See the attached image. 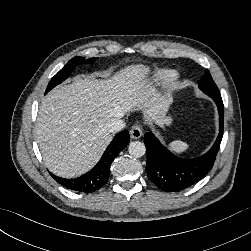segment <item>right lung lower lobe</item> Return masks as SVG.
I'll list each match as a JSON object with an SVG mask.
<instances>
[{
    "label": "right lung lower lobe",
    "mask_w": 251,
    "mask_h": 251,
    "mask_svg": "<svg viewBox=\"0 0 251 251\" xmlns=\"http://www.w3.org/2000/svg\"><path fill=\"white\" fill-rule=\"evenodd\" d=\"M130 142V136L127 130L118 133L110 145L107 147L100 161L96 166L86 174L74 178L66 179L50 175L64 187L84 193H92L103 187L109 179L110 166L118 153L123 150Z\"/></svg>",
    "instance_id": "obj_1"
}]
</instances>
